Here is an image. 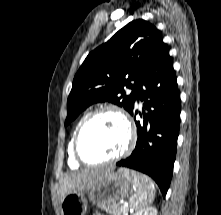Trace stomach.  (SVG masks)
<instances>
[{
  "mask_svg": "<svg viewBox=\"0 0 221 215\" xmlns=\"http://www.w3.org/2000/svg\"><path fill=\"white\" fill-rule=\"evenodd\" d=\"M143 177L127 169L110 172L90 190L67 194L61 201V215H85L88 202L100 207L115 204L129 195L136 178L141 182Z\"/></svg>",
  "mask_w": 221,
  "mask_h": 215,
  "instance_id": "obj_1",
  "label": "stomach"
}]
</instances>
